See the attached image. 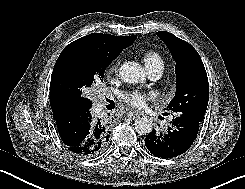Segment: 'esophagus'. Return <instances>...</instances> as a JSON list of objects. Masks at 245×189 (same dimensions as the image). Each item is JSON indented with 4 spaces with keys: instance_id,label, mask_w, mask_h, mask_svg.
Wrapping results in <instances>:
<instances>
[{
    "instance_id": "34e87169",
    "label": "esophagus",
    "mask_w": 245,
    "mask_h": 189,
    "mask_svg": "<svg viewBox=\"0 0 245 189\" xmlns=\"http://www.w3.org/2000/svg\"><path fill=\"white\" fill-rule=\"evenodd\" d=\"M138 115H139V113L137 111H129L127 113V117L130 119H135Z\"/></svg>"
}]
</instances>
